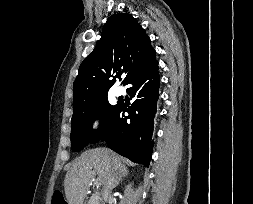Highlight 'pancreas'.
Segmentation results:
<instances>
[{"instance_id":"obj_1","label":"pancreas","mask_w":253,"mask_h":204,"mask_svg":"<svg viewBox=\"0 0 253 204\" xmlns=\"http://www.w3.org/2000/svg\"><path fill=\"white\" fill-rule=\"evenodd\" d=\"M88 204H100L99 199L96 196H92L88 202Z\"/></svg>"}]
</instances>
